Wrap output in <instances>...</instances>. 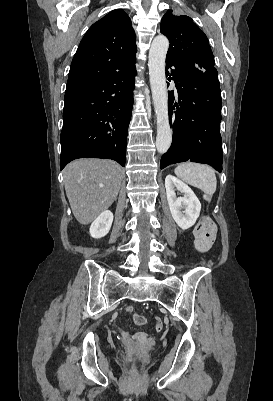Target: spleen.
I'll use <instances>...</instances> for the list:
<instances>
[{
	"label": "spleen",
	"instance_id": "3e777b00",
	"mask_svg": "<svg viewBox=\"0 0 273 401\" xmlns=\"http://www.w3.org/2000/svg\"><path fill=\"white\" fill-rule=\"evenodd\" d=\"M175 174L197 188H201L205 194L212 196L216 190L217 178L215 170L207 164L197 162H182L175 168Z\"/></svg>",
	"mask_w": 273,
	"mask_h": 401
}]
</instances>
